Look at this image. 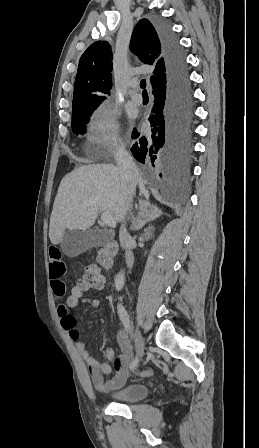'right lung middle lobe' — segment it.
Instances as JSON below:
<instances>
[{
    "instance_id": "dd1d6c3e",
    "label": "right lung middle lobe",
    "mask_w": 259,
    "mask_h": 448,
    "mask_svg": "<svg viewBox=\"0 0 259 448\" xmlns=\"http://www.w3.org/2000/svg\"><path fill=\"white\" fill-rule=\"evenodd\" d=\"M97 107L72 111V131L74 134H85L86 124L90 121V116Z\"/></svg>"
}]
</instances>
